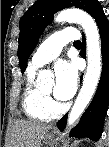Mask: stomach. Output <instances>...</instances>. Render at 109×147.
Masks as SVG:
<instances>
[{"label":"stomach","instance_id":"obj_1","mask_svg":"<svg viewBox=\"0 0 109 147\" xmlns=\"http://www.w3.org/2000/svg\"><path fill=\"white\" fill-rule=\"evenodd\" d=\"M57 133H58V132H57V130H55V129L49 130V131L46 133L43 142H44L45 144H48L49 142L53 141V140L56 138Z\"/></svg>","mask_w":109,"mask_h":147}]
</instances>
